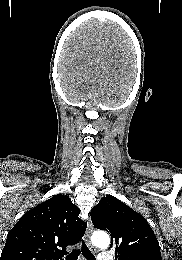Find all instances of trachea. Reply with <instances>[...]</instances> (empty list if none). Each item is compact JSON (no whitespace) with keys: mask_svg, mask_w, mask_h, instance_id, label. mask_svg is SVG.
<instances>
[{"mask_svg":"<svg viewBox=\"0 0 182 260\" xmlns=\"http://www.w3.org/2000/svg\"><path fill=\"white\" fill-rule=\"evenodd\" d=\"M82 252L83 256L87 259V260H95V256L92 254V252L89 250V248L87 247V245L85 244L84 241H82L81 244V249H75L71 252V254H69L68 256H66L65 260H77L79 254Z\"/></svg>","mask_w":182,"mask_h":260,"instance_id":"obj_1","label":"trachea"}]
</instances>
